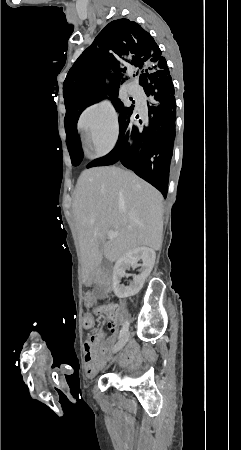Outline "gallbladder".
Masks as SVG:
<instances>
[{"label":"gallbladder","mask_w":241,"mask_h":450,"mask_svg":"<svg viewBox=\"0 0 241 450\" xmlns=\"http://www.w3.org/2000/svg\"><path fill=\"white\" fill-rule=\"evenodd\" d=\"M100 266H101V270H108V268H109V266H110V262H109V260H106V258H102V262H101V264H100ZM102 276L103 277H106L107 276V273L106 272H103L102 273ZM95 292L96 293H104L105 292V289L104 288H98V286H95Z\"/></svg>","instance_id":"bac80fb5"}]
</instances>
